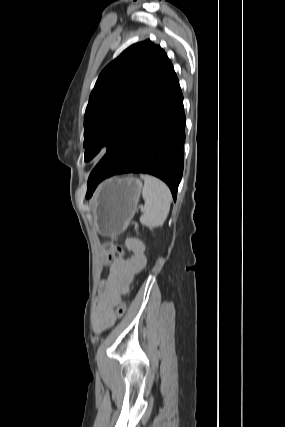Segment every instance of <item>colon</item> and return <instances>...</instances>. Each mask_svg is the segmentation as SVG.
<instances>
[{"mask_svg":"<svg viewBox=\"0 0 285 427\" xmlns=\"http://www.w3.org/2000/svg\"><path fill=\"white\" fill-rule=\"evenodd\" d=\"M102 255L104 262L107 264L111 260L120 258L123 255V249L120 245L114 244L111 242H106L102 245ZM126 312V304L124 301H121L116 310L114 317L115 319L121 318Z\"/></svg>","mask_w":285,"mask_h":427,"instance_id":"5ec220e1","label":"colon"}]
</instances>
